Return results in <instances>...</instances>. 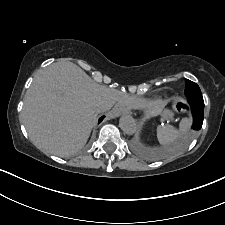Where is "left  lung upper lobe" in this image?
Listing matches in <instances>:
<instances>
[{
  "label": "left lung upper lobe",
  "mask_w": 225,
  "mask_h": 225,
  "mask_svg": "<svg viewBox=\"0 0 225 225\" xmlns=\"http://www.w3.org/2000/svg\"><path fill=\"white\" fill-rule=\"evenodd\" d=\"M185 95L188 100L203 99L199 86L190 80H186Z\"/></svg>",
  "instance_id": "obj_1"
}]
</instances>
